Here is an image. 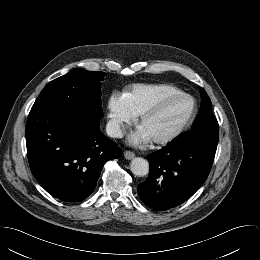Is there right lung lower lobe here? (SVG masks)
Returning a JSON list of instances; mask_svg holds the SVG:
<instances>
[{"label":"right lung lower lobe","instance_id":"98d812e1","mask_svg":"<svg viewBox=\"0 0 260 260\" xmlns=\"http://www.w3.org/2000/svg\"><path fill=\"white\" fill-rule=\"evenodd\" d=\"M100 118L77 109L30 111L25 129L29 165L45 190L59 200H85L106 161L122 155L101 133Z\"/></svg>","mask_w":260,"mask_h":260}]
</instances>
